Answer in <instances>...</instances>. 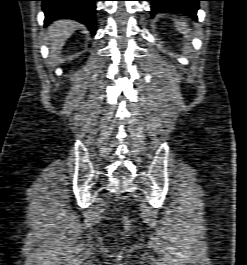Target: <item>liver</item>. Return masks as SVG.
<instances>
[{
	"mask_svg": "<svg viewBox=\"0 0 247 265\" xmlns=\"http://www.w3.org/2000/svg\"><path fill=\"white\" fill-rule=\"evenodd\" d=\"M78 23L71 20H58L52 23L47 29L49 38L48 44L51 48V53L56 55L64 46L66 40L78 28Z\"/></svg>",
	"mask_w": 247,
	"mask_h": 265,
	"instance_id": "6515ba94",
	"label": "liver"
}]
</instances>
